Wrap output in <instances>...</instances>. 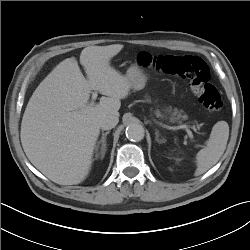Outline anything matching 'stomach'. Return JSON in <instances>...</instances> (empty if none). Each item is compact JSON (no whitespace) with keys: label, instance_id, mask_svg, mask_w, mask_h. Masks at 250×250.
Wrapping results in <instances>:
<instances>
[{"label":"stomach","instance_id":"0dacf381","mask_svg":"<svg viewBox=\"0 0 250 250\" xmlns=\"http://www.w3.org/2000/svg\"><path fill=\"white\" fill-rule=\"evenodd\" d=\"M129 79L131 88L134 90H141L145 87L147 76L138 66H131L126 74Z\"/></svg>","mask_w":250,"mask_h":250}]
</instances>
